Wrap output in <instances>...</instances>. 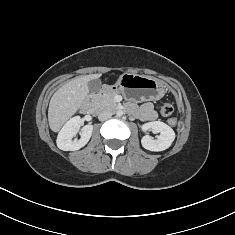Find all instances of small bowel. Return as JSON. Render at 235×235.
Returning <instances> with one entry per match:
<instances>
[{
    "mask_svg": "<svg viewBox=\"0 0 235 235\" xmlns=\"http://www.w3.org/2000/svg\"><path fill=\"white\" fill-rule=\"evenodd\" d=\"M137 115L140 119L144 121H152L156 118V113L153 109V105L151 103H145L143 104L138 112Z\"/></svg>",
    "mask_w": 235,
    "mask_h": 235,
    "instance_id": "c3829d8e",
    "label": "small bowel"
}]
</instances>
